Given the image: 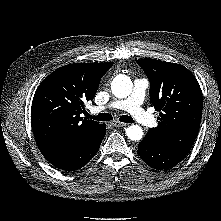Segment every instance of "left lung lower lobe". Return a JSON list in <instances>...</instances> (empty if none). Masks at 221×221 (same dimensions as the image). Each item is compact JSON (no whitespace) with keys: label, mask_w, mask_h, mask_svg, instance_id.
<instances>
[{"label":"left lung lower lobe","mask_w":221,"mask_h":221,"mask_svg":"<svg viewBox=\"0 0 221 221\" xmlns=\"http://www.w3.org/2000/svg\"><path fill=\"white\" fill-rule=\"evenodd\" d=\"M137 153L147 165L157 170L172 168L187 155L172 148L156 144L147 137L138 144Z\"/></svg>","instance_id":"left-lung-lower-lobe-1"}]
</instances>
